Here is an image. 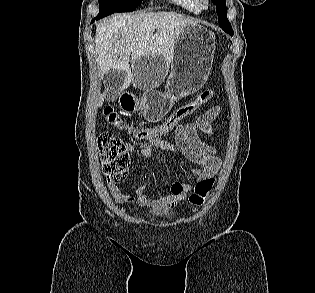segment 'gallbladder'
Masks as SVG:
<instances>
[{"mask_svg": "<svg viewBox=\"0 0 315 293\" xmlns=\"http://www.w3.org/2000/svg\"><path fill=\"white\" fill-rule=\"evenodd\" d=\"M125 72L121 69H110L103 78V82L108 90L106 99L113 101L116 98L115 91L124 84Z\"/></svg>", "mask_w": 315, "mask_h": 293, "instance_id": "obj_1", "label": "gallbladder"}]
</instances>
